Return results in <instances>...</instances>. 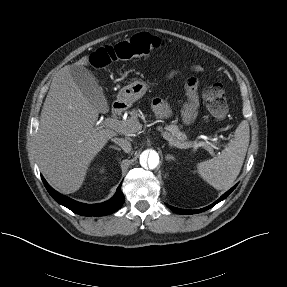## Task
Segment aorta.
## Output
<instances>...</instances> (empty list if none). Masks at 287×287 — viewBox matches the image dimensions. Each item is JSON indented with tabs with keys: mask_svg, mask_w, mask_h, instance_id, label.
Segmentation results:
<instances>
[{
	"mask_svg": "<svg viewBox=\"0 0 287 287\" xmlns=\"http://www.w3.org/2000/svg\"><path fill=\"white\" fill-rule=\"evenodd\" d=\"M140 164L149 169H155L159 164V155L154 150H146L140 155Z\"/></svg>",
	"mask_w": 287,
	"mask_h": 287,
	"instance_id": "obj_1",
	"label": "aorta"
}]
</instances>
